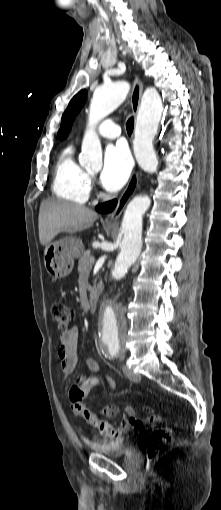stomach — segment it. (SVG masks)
Instances as JSON below:
<instances>
[{
  "instance_id": "0dacf381",
  "label": "stomach",
  "mask_w": 221,
  "mask_h": 510,
  "mask_svg": "<svg viewBox=\"0 0 221 510\" xmlns=\"http://www.w3.org/2000/svg\"><path fill=\"white\" fill-rule=\"evenodd\" d=\"M82 251L83 243L76 237H65L47 244L44 249V265L48 274L54 280L68 276L73 269L74 258Z\"/></svg>"
}]
</instances>
